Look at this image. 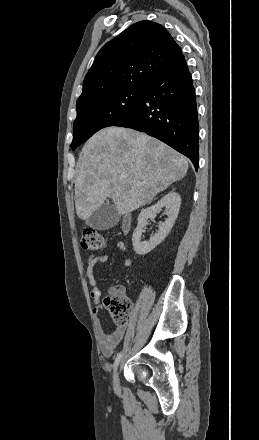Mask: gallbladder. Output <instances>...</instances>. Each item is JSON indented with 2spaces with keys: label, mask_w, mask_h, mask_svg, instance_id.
Masks as SVG:
<instances>
[{
  "label": "gallbladder",
  "mask_w": 259,
  "mask_h": 440,
  "mask_svg": "<svg viewBox=\"0 0 259 440\" xmlns=\"http://www.w3.org/2000/svg\"><path fill=\"white\" fill-rule=\"evenodd\" d=\"M120 218L121 214L118 213L115 206L105 203L85 220V224L93 229L107 230L117 225Z\"/></svg>",
  "instance_id": "1"
}]
</instances>
